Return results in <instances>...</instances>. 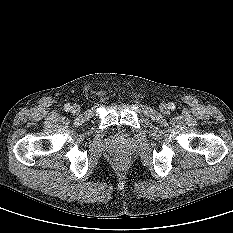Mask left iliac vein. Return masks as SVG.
<instances>
[{
  "instance_id": "4c4485c4",
  "label": "left iliac vein",
  "mask_w": 233,
  "mask_h": 233,
  "mask_svg": "<svg viewBox=\"0 0 233 233\" xmlns=\"http://www.w3.org/2000/svg\"><path fill=\"white\" fill-rule=\"evenodd\" d=\"M160 111H161L162 113H167V112H168V106H167V104L162 103V104L160 105Z\"/></svg>"
}]
</instances>
